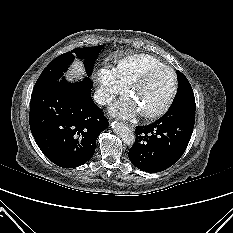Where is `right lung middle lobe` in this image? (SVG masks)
Masks as SVG:
<instances>
[{
	"mask_svg": "<svg viewBox=\"0 0 233 233\" xmlns=\"http://www.w3.org/2000/svg\"><path fill=\"white\" fill-rule=\"evenodd\" d=\"M101 49V45L95 47L78 48L56 57L43 70L33 88V91L56 83L60 79H64L63 73L67 70L75 57L85 61L86 72L89 77L92 72L94 60L98 56Z\"/></svg>",
	"mask_w": 233,
	"mask_h": 233,
	"instance_id": "dd1d6c3e",
	"label": "right lung middle lobe"
}]
</instances>
